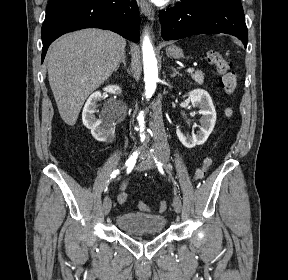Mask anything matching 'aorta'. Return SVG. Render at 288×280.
Returning a JSON list of instances; mask_svg holds the SVG:
<instances>
[{"label":"aorta","mask_w":288,"mask_h":280,"mask_svg":"<svg viewBox=\"0 0 288 280\" xmlns=\"http://www.w3.org/2000/svg\"><path fill=\"white\" fill-rule=\"evenodd\" d=\"M143 52V65H144V81H145V95L150 98L156 89V83L158 81V67L155 53L149 36H145L142 44ZM141 111H138L136 120H146L147 111L146 106H141ZM149 126H139L138 136H141V140H147L149 136Z\"/></svg>","instance_id":"obj_1"}]
</instances>
